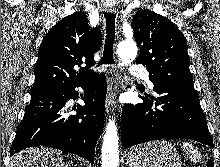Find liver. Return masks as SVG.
I'll return each instance as SVG.
<instances>
[{
  "label": "liver",
  "mask_w": 220,
  "mask_h": 167,
  "mask_svg": "<svg viewBox=\"0 0 220 167\" xmlns=\"http://www.w3.org/2000/svg\"><path fill=\"white\" fill-rule=\"evenodd\" d=\"M9 167H66L62 153L45 147L28 148L15 154Z\"/></svg>",
  "instance_id": "obj_1"
}]
</instances>
